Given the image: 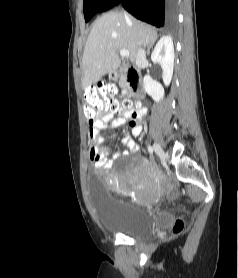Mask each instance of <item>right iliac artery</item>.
<instances>
[{"instance_id":"82829eb1","label":"right iliac artery","mask_w":238,"mask_h":278,"mask_svg":"<svg viewBox=\"0 0 238 278\" xmlns=\"http://www.w3.org/2000/svg\"><path fill=\"white\" fill-rule=\"evenodd\" d=\"M148 151H149L150 154H152L153 153V147L149 145L148 146Z\"/></svg>"}]
</instances>
